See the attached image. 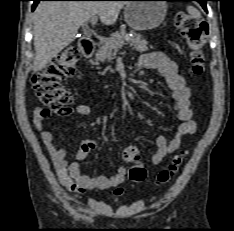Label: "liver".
<instances>
[{
    "mask_svg": "<svg viewBox=\"0 0 234 231\" xmlns=\"http://www.w3.org/2000/svg\"><path fill=\"white\" fill-rule=\"evenodd\" d=\"M124 1H43L33 15L35 59L33 70L40 71L70 45L78 29L99 15L105 25L116 22Z\"/></svg>",
    "mask_w": 234,
    "mask_h": 231,
    "instance_id": "6515ba94",
    "label": "liver"
}]
</instances>
